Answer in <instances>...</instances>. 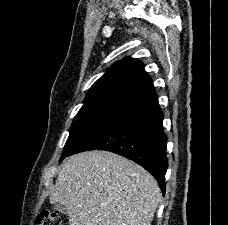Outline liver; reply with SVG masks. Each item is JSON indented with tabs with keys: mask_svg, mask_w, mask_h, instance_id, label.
Returning a JSON list of instances; mask_svg holds the SVG:
<instances>
[{
	"mask_svg": "<svg viewBox=\"0 0 228 225\" xmlns=\"http://www.w3.org/2000/svg\"><path fill=\"white\" fill-rule=\"evenodd\" d=\"M161 193L145 169L108 151L66 159L50 203L66 207L70 225H151Z\"/></svg>",
	"mask_w": 228,
	"mask_h": 225,
	"instance_id": "1",
	"label": "liver"
}]
</instances>
